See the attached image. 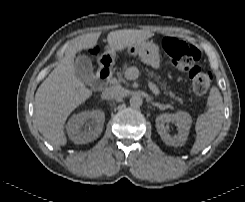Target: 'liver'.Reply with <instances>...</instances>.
<instances>
[{
  "instance_id": "obj_1",
  "label": "liver",
  "mask_w": 245,
  "mask_h": 202,
  "mask_svg": "<svg viewBox=\"0 0 245 202\" xmlns=\"http://www.w3.org/2000/svg\"><path fill=\"white\" fill-rule=\"evenodd\" d=\"M149 31L124 29L107 35L106 53L115 54L152 37ZM100 33H88L76 37L65 50V55L54 70L42 82L35 94V124L45 139L53 145L64 146L67 138L64 124L69 114L92 96L74 72L77 52L93 48ZM100 59V57H98Z\"/></svg>"
}]
</instances>
